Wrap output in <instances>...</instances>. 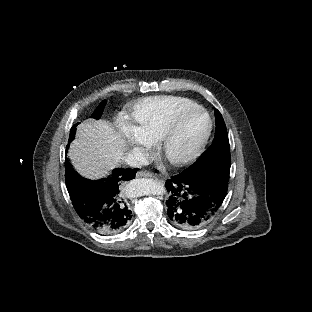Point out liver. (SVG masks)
<instances>
[{
	"instance_id": "liver-1",
	"label": "liver",
	"mask_w": 312,
	"mask_h": 312,
	"mask_svg": "<svg viewBox=\"0 0 312 312\" xmlns=\"http://www.w3.org/2000/svg\"><path fill=\"white\" fill-rule=\"evenodd\" d=\"M128 151L127 140L106 120L88 119L77 127L68 157L74 169L90 180L106 177Z\"/></svg>"
}]
</instances>
